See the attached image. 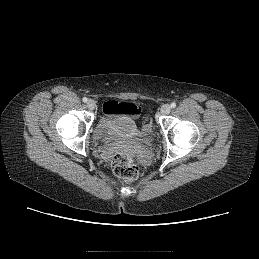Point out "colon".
<instances>
[{
    "label": "colon",
    "mask_w": 259,
    "mask_h": 259,
    "mask_svg": "<svg viewBox=\"0 0 259 259\" xmlns=\"http://www.w3.org/2000/svg\"><path fill=\"white\" fill-rule=\"evenodd\" d=\"M123 108L126 113L134 112V109L129 104H125ZM146 126L147 122L145 123V127ZM112 169L118 177L126 182L136 180L139 175L138 166L136 165L134 158L124 152H118L113 156Z\"/></svg>",
    "instance_id": "1"
}]
</instances>
